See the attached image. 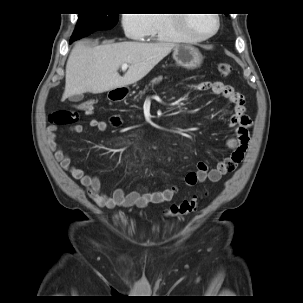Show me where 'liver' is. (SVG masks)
<instances>
[{
    "label": "liver",
    "mask_w": 303,
    "mask_h": 303,
    "mask_svg": "<svg viewBox=\"0 0 303 303\" xmlns=\"http://www.w3.org/2000/svg\"><path fill=\"white\" fill-rule=\"evenodd\" d=\"M176 44L169 42L141 43L107 42L90 47L78 42L66 64L65 90L62 100L86 92L103 93L124 87L145 77ZM129 69L124 76L118 70L122 64Z\"/></svg>",
    "instance_id": "liver-1"
}]
</instances>
